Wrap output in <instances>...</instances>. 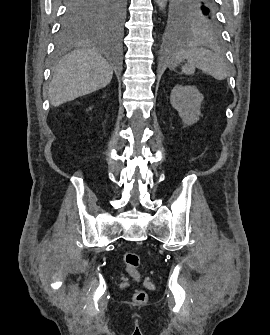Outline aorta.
Instances as JSON below:
<instances>
[{
    "instance_id": "obj_1",
    "label": "aorta",
    "mask_w": 270,
    "mask_h": 335,
    "mask_svg": "<svg viewBox=\"0 0 270 335\" xmlns=\"http://www.w3.org/2000/svg\"><path fill=\"white\" fill-rule=\"evenodd\" d=\"M160 10H164L167 0H156Z\"/></svg>"
}]
</instances>
